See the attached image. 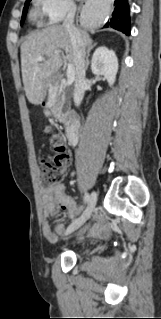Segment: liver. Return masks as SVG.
<instances>
[{
    "label": "liver",
    "instance_id": "6515ba94",
    "mask_svg": "<svg viewBox=\"0 0 161 319\" xmlns=\"http://www.w3.org/2000/svg\"><path fill=\"white\" fill-rule=\"evenodd\" d=\"M84 46L92 43L86 31L78 30ZM62 51L74 63V51L66 28L54 25L30 35L21 45V69L26 97L31 104H41L54 74L62 66ZM38 56H46L38 61Z\"/></svg>",
    "mask_w": 161,
    "mask_h": 319
}]
</instances>
